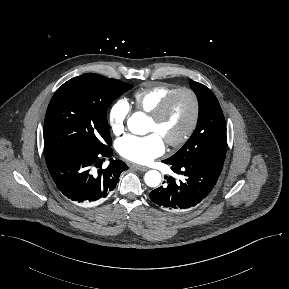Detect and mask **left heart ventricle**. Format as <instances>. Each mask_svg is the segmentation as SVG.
<instances>
[{
	"mask_svg": "<svg viewBox=\"0 0 289 289\" xmlns=\"http://www.w3.org/2000/svg\"><path fill=\"white\" fill-rule=\"evenodd\" d=\"M193 115V101L188 94H180L173 101L165 117L156 122L149 118L147 131L157 133L163 141L180 137L190 124Z\"/></svg>",
	"mask_w": 289,
	"mask_h": 289,
	"instance_id": "1",
	"label": "left heart ventricle"
}]
</instances>
